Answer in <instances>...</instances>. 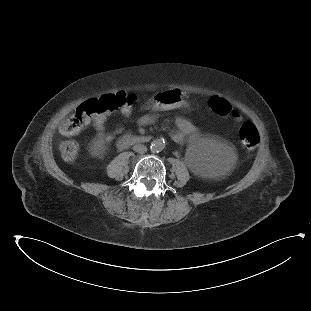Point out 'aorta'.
I'll return each instance as SVG.
<instances>
[{
  "instance_id": "762f6f07",
  "label": "aorta",
  "mask_w": 311,
  "mask_h": 311,
  "mask_svg": "<svg viewBox=\"0 0 311 311\" xmlns=\"http://www.w3.org/2000/svg\"><path fill=\"white\" fill-rule=\"evenodd\" d=\"M150 149L152 152L159 153L164 149V142L161 140H154L151 143Z\"/></svg>"
}]
</instances>
